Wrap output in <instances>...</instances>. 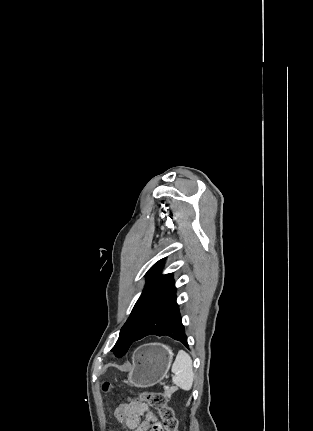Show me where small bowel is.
Returning a JSON list of instances; mask_svg holds the SVG:
<instances>
[{"mask_svg":"<svg viewBox=\"0 0 313 431\" xmlns=\"http://www.w3.org/2000/svg\"><path fill=\"white\" fill-rule=\"evenodd\" d=\"M115 416L127 429L133 431H148L150 425L154 426L158 421V416L148 410L146 405L136 402L120 405Z\"/></svg>","mask_w":313,"mask_h":431,"instance_id":"1","label":"small bowel"}]
</instances>
